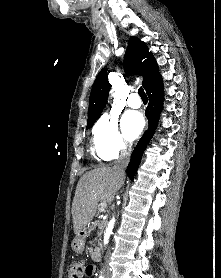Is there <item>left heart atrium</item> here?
I'll list each match as a JSON object with an SVG mask.
<instances>
[{
  "label": "left heart atrium",
  "instance_id": "39dd6f15",
  "mask_svg": "<svg viewBox=\"0 0 221 278\" xmlns=\"http://www.w3.org/2000/svg\"><path fill=\"white\" fill-rule=\"evenodd\" d=\"M122 127L126 138L134 140L144 128V119L140 113L129 111L122 117Z\"/></svg>",
  "mask_w": 221,
  "mask_h": 278
}]
</instances>
